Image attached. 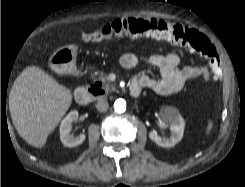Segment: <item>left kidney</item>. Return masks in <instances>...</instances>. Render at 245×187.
I'll list each match as a JSON object with an SVG mask.
<instances>
[{
	"mask_svg": "<svg viewBox=\"0 0 245 187\" xmlns=\"http://www.w3.org/2000/svg\"><path fill=\"white\" fill-rule=\"evenodd\" d=\"M159 117L162 121L170 126V138L161 137L156 131L149 133V138L161 147H173L181 141L184 132L185 121L179 113L178 109L171 106L161 107Z\"/></svg>",
	"mask_w": 245,
	"mask_h": 187,
	"instance_id": "5707ae66",
	"label": "left kidney"
}]
</instances>
